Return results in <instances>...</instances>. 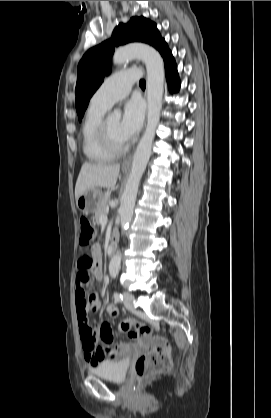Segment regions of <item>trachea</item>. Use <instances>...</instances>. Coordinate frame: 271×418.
Wrapping results in <instances>:
<instances>
[{
  "label": "trachea",
  "instance_id": "trachea-1",
  "mask_svg": "<svg viewBox=\"0 0 271 418\" xmlns=\"http://www.w3.org/2000/svg\"><path fill=\"white\" fill-rule=\"evenodd\" d=\"M139 85H140V87H142V88H145L146 87V82H145V80H140V82H139Z\"/></svg>",
  "mask_w": 271,
  "mask_h": 418
}]
</instances>
